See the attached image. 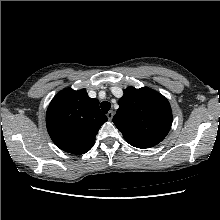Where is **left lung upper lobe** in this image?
<instances>
[{
  "label": "left lung upper lobe",
  "instance_id": "1",
  "mask_svg": "<svg viewBox=\"0 0 220 220\" xmlns=\"http://www.w3.org/2000/svg\"><path fill=\"white\" fill-rule=\"evenodd\" d=\"M113 122L130 145L150 148L168 134L172 111L168 100L155 90L128 87L120 98Z\"/></svg>",
  "mask_w": 220,
  "mask_h": 220
}]
</instances>
